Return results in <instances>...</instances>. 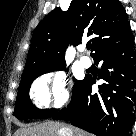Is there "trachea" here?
Segmentation results:
<instances>
[{"label":"trachea","mask_w":136,"mask_h":136,"mask_svg":"<svg viewBox=\"0 0 136 136\" xmlns=\"http://www.w3.org/2000/svg\"><path fill=\"white\" fill-rule=\"evenodd\" d=\"M87 49L89 50L91 48V44H87Z\"/></svg>","instance_id":"1"}]
</instances>
